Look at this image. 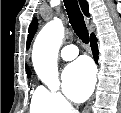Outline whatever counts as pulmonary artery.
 Wrapping results in <instances>:
<instances>
[{"label":"pulmonary artery","mask_w":121,"mask_h":113,"mask_svg":"<svg viewBox=\"0 0 121 113\" xmlns=\"http://www.w3.org/2000/svg\"><path fill=\"white\" fill-rule=\"evenodd\" d=\"M77 55H78V49L73 44L64 46L60 51V56L65 61H70L76 58Z\"/></svg>","instance_id":"obj_1"}]
</instances>
